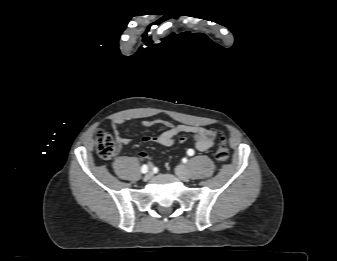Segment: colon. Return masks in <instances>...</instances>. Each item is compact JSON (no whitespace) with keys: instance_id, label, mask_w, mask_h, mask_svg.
<instances>
[{"instance_id":"1","label":"colon","mask_w":337,"mask_h":261,"mask_svg":"<svg viewBox=\"0 0 337 261\" xmlns=\"http://www.w3.org/2000/svg\"><path fill=\"white\" fill-rule=\"evenodd\" d=\"M95 141H96V151L101 159L109 160L115 155L117 151V145L115 144V141L113 140L110 134L102 130H99L96 133ZM228 158H229V150L226 146L225 138L222 136L220 144L215 152V159L219 162H224Z\"/></svg>"}]
</instances>
